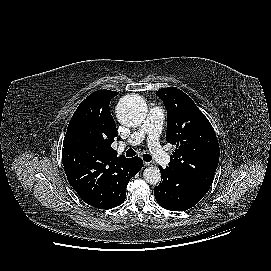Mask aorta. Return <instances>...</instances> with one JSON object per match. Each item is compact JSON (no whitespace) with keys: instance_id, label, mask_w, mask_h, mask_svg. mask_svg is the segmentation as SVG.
Returning a JSON list of instances; mask_svg holds the SVG:
<instances>
[{"instance_id":"obj_1","label":"aorta","mask_w":271,"mask_h":271,"mask_svg":"<svg viewBox=\"0 0 271 271\" xmlns=\"http://www.w3.org/2000/svg\"><path fill=\"white\" fill-rule=\"evenodd\" d=\"M117 118L127 127H138L143 123L147 108L141 97L137 95H126L118 103ZM144 180L155 185L161 180V172L155 167H147L143 172Z\"/></svg>"}]
</instances>
